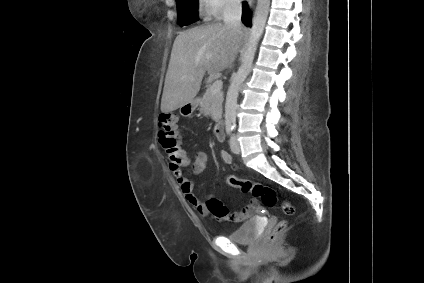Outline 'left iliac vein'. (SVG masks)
I'll return each mask as SVG.
<instances>
[{
  "instance_id": "1",
  "label": "left iliac vein",
  "mask_w": 424,
  "mask_h": 283,
  "mask_svg": "<svg viewBox=\"0 0 424 283\" xmlns=\"http://www.w3.org/2000/svg\"><path fill=\"white\" fill-rule=\"evenodd\" d=\"M230 148L231 151L235 154H238L240 152V145L235 134H233L230 138Z\"/></svg>"
}]
</instances>
